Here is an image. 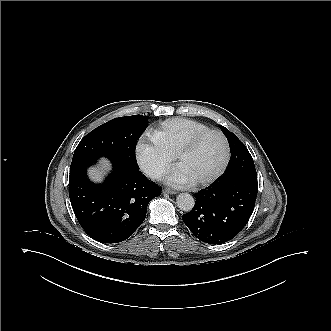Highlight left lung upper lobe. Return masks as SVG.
Instances as JSON below:
<instances>
[{
    "label": "left lung upper lobe",
    "mask_w": 331,
    "mask_h": 331,
    "mask_svg": "<svg viewBox=\"0 0 331 331\" xmlns=\"http://www.w3.org/2000/svg\"><path fill=\"white\" fill-rule=\"evenodd\" d=\"M220 128L229 142L231 151V159L221 181L235 176L257 179L254 162L246 146L228 129L223 126Z\"/></svg>",
    "instance_id": "1"
}]
</instances>
